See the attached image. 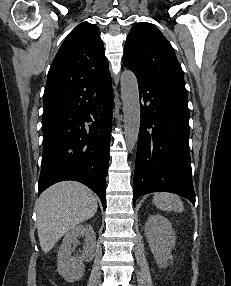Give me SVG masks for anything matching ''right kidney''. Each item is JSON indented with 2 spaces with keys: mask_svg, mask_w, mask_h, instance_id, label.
I'll return each mask as SVG.
<instances>
[{
  "mask_svg": "<svg viewBox=\"0 0 231 286\" xmlns=\"http://www.w3.org/2000/svg\"><path fill=\"white\" fill-rule=\"evenodd\" d=\"M78 237L84 238V247L79 256L72 257V243L76 242ZM96 247V236L91 225L80 224L70 230L63 238L62 245L58 251V271L68 282H75L84 275V262L93 259Z\"/></svg>",
  "mask_w": 231,
  "mask_h": 286,
  "instance_id": "ca27d5eb",
  "label": "right kidney"
}]
</instances>
